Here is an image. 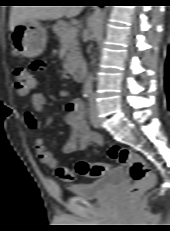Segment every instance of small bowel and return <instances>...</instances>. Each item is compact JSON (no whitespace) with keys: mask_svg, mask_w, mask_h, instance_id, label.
Here are the masks:
<instances>
[{"mask_svg":"<svg viewBox=\"0 0 170 231\" xmlns=\"http://www.w3.org/2000/svg\"><path fill=\"white\" fill-rule=\"evenodd\" d=\"M29 69L32 73H42L46 70V63L42 60H35L30 64ZM31 104L35 112L43 113L47 100L43 94L36 93L31 97ZM83 111V102L79 98H75L63 106L59 115L48 119V123L62 119L71 128L70 136L62 149L64 154L85 150L91 142H101V137L87 126ZM24 120L26 125L31 129L38 127V121L32 112H26ZM35 149L42 163L51 168L56 166V159L47 150L45 140L42 137L36 138Z\"/></svg>","mask_w":170,"mask_h":231,"instance_id":"c3829d8e","label":"small bowel"}]
</instances>
